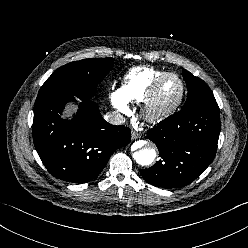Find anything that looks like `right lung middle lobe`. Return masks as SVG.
Listing matches in <instances>:
<instances>
[{
  "mask_svg": "<svg viewBox=\"0 0 248 248\" xmlns=\"http://www.w3.org/2000/svg\"><path fill=\"white\" fill-rule=\"evenodd\" d=\"M113 58H95L74 61L58 68L43 84L38 97L66 93L91 98L98 83L112 69Z\"/></svg>",
  "mask_w": 248,
  "mask_h": 248,
  "instance_id": "1",
  "label": "right lung middle lobe"
}]
</instances>
